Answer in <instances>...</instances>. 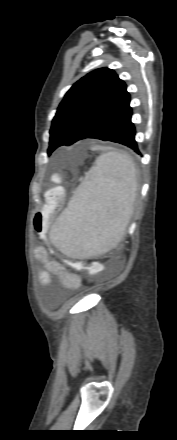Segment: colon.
<instances>
[{
    "label": "colon",
    "mask_w": 177,
    "mask_h": 440,
    "mask_svg": "<svg viewBox=\"0 0 177 440\" xmlns=\"http://www.w3.org/2000/svg\"><path fill=\"white\" fill-rule=\"evenodd\" d=\"M53 180L59 182V175H54ZM63 199V191L59 187L52 188L45 194V204L43 208L36 213L34 218V225L37 231L41 230L43 227H45V229L42 233L46 231L52 216L61 209ZM69 275L71 276L74 274L69 273Z\"/></svg>",
    "instance_id": "obj_1"
}]
</instances>
